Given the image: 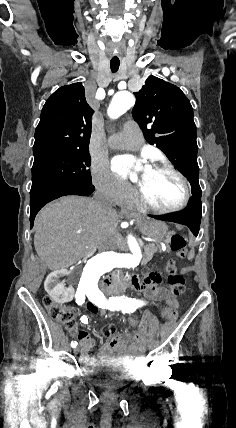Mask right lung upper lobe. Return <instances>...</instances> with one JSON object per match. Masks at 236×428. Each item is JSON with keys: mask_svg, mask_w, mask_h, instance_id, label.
I'll return each mask as SVG.
<instances>
[{"mask_svg": "<svg viewBox=\"0 0 236 428\" xmlns=\"http://www.w3.org/2000/svg\"><path fill=\"white\" fill-rule=\"evenodd\" d=\"M93 112L81 83L59 88L43 106L33 150L88 147Z\"/></svg>", "mask_w": 236, "mask_h": 428, "instance_id": "1", "label": "right lung upper lobe"}]
</instances>
